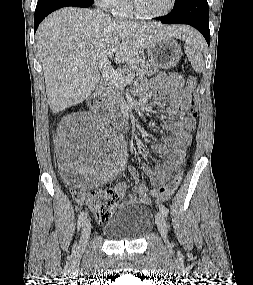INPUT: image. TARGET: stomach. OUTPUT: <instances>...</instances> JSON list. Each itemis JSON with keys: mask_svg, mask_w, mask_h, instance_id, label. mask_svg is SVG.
<instances>
[{"mask_svg": "<svg viewBox=\"0 0 253 285\" xmlns=\"http://www.w3.org/2000/svg\"><path fill=\"white\" fill-rule=\"evenodd\" d=\"M148 61L152 66L169 69L177 65L182 52L172 37H162L146 48Z\"/></svg>", "mask_w": 253, "mask_h": 285, "instance_id": "1", "label": "stomach"}]
</instances>
